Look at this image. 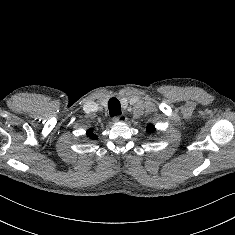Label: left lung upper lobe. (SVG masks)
<instances>
[{
	"instance_id": "left-lung-upper-lobe-1",
	"label": "left lung upper lobe",
	"mask_w": 235,
	"mask_h": 235,
	"mask_svg": "<svg viewBox=\"0 0 235 235\" xmlns=\"http://www.w3.org/2000/svg\"><path fill=\"white\" fill-rule=\"evenodd\" d=\"M146 130L149 131L150 133H152L155 131V128L152 124H148Z\"/></svg>"
}]
</instances>
